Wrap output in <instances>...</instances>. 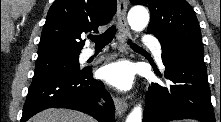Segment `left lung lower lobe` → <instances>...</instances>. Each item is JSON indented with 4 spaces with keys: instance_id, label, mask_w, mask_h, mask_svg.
Here are the masks:
<instances>
[{
    "instance_id": "1",
    "label": "left lung lower lobe",
    "mask_w": 221,
    "mask_h": 122,
    "mask_svg": "<svg viewBox=\"0 0 221 122\" xmlns=\"http://www.w3.org/2000/svg\"><path fill=\"white\" fill-rule=\"evenodd\" d=\"M169 87L151 83L146 93L143 122L197 119L215 122L203 56L162 50Z\"/></svg>"
}]
</instances>
